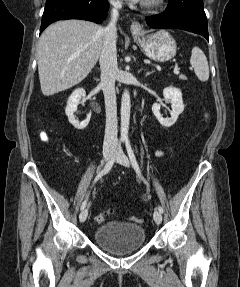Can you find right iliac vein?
I'll list each match as a JSON object with an SVG mask.
<instances>
[{
	"mask_svg": "<svg viewBox=\"0 0 240 287\" xmlns=\"http://www.w3.org/2000/svg\"><path fill=\"white\" fill-rule=\"evenodd\" d=\"M112 153H113V149H111V148L105 149L103 151V159L105 162H108L110 160ZM87 216H88L87 209H83L79 215L80 222H85V220L87 219Z\"/></svg>",
	"mask_w": 240,
	"mask_h": 287,
	"instance_id": "right-iliac-vein-1",
	"label": "right iliac vein"
}]
</instances>
